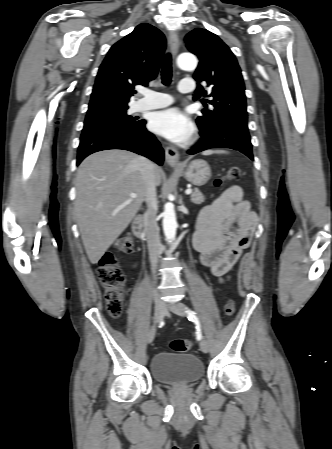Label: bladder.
Returning a JSON list of instances; mask_svg holds the SVG:
<instances>
[{
    "mask_svg": "<svg viewBox=\"0 0 332 449\" xmlns=\"http://www.w3.org/2000/svg\"><path fill=\"white\" fill-rule=\"evenodd\" d=\"M151 374L164 385H189L203 377L204 366L190 353L161 352L151 360Z\"/></svg>",
    "mask_w": 332,
    "mask_h": 449,
    "instance_id": "obj_1",
    "label": "bladder"
}]
</instances>
